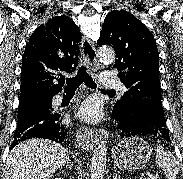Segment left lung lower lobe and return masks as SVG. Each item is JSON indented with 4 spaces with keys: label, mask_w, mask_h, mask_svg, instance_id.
<instances>
[{
    "label": "left lung lower lobe",
    "mask_w": 183,
    "mask_h": 179,
    "mask_svg": "<svg viewBox=\"0 0 183 179\" xmlns=\"http://www.w3.org/2000/svg\"><path fill=\"white\" fill-rule=\"evenodd\" d=\"M113 114L121 138L149 135L162 138L171 143L167 128L155 126L134 113L113 111Z\"/></svg>",
    "instance_id": "1"
}]
</instances>
